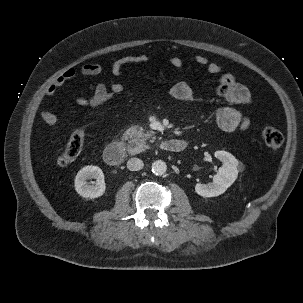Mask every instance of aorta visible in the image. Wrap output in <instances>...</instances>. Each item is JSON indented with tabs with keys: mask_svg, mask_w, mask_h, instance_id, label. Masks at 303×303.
<instances>
[{
	"mask_svg": "<svg viewBox=\"0 0 303 303\" xmlns=\"http://www.w3.org/2000/svg\"><path fill=\"white\" fill-rule=\"evenodd\" d=\"M167 171V165L162 160H156L152 163V172L157 175L161 176L164 175Z\"/></svg>",
	"mask_w": 303,
	"mask_h": 303,
	"instance_id": "1",
	"label": "aorta"
}]
</instances>
